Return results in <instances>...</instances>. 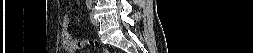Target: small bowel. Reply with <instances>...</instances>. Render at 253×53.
Returning <instances> with one entry per match:
<instances>
[{
    "instance_id": "c3829d8e",
    "label": "small bowel",
    "mask_w": 253,
    "mask_h": 53,
    "mask_svg": "<svg viewBox=\"0 0 253 53\" xmlns=\"http://www.w3.org/2000/svg\"><path fill=\"white\" fill-rule=\"evenodd\" d=\"M69 25V17L64 16L62 18V37H63V47L67 52H74L79 47V40L73 37L70 32L68 31Z\"/></svg>"
}]
</instances>
